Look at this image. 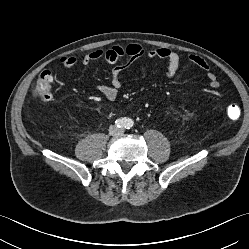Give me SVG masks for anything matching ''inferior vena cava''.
I'll use <instances>...</instances> for the list:
<instances>
[{"label": "inferior vena cava", "mask_w": 249, "mask_h": 249, "mask_svg": "<svg viewBox=\"0 0 249 249\" xmlns=\"http://www.w3.org/2000/svg\"><path fill=\"white\" fill-rule=\"evenodd\" d=\"M118 131H119V129H117L116 127L111 126V128H110V133L111 134H116Z\"/></svg>", "instance_id": "602c4592"}]
</instances>
